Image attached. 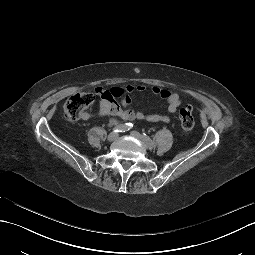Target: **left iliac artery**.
Returning <instances> with one entry per match:
<instances>
[{"label": "left iliac artery", "instance_id": "1", "mask_svg": "<svg viewBox=\"0 0 255 255\" xmlns=\"http://www.w3.org/2000/svg\"><path fill=\"white\" fill-rule=\"evenodd\" d=\"M143 139L146 145H149V146L154 145V142L145 133L143 134Z\"/></svg>", "mask_w": 255, "mask_h": 255}]
</instances>
